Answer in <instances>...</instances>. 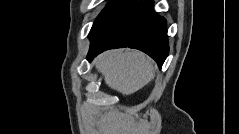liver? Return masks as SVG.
Returning <instances> with one entry per match:
<instances>
[{"label":"liver","instance_id":"liver-1","mask_svg":"<svg viewBox=\"0 0 239 134\" xmlns=\"http://www.w3.org/2000/svg\"><path fill=\"white\" fill-rule=\"evenodd\" d=\"M105 83L123 95H130L147 85L155 75L152 61L137 50H109L95 61Z\"/></svg>","mask_w":239,"mask_h":134}]
</instances>
